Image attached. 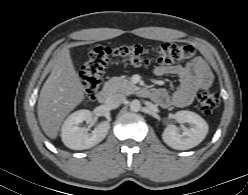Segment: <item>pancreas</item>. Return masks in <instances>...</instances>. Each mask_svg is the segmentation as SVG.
Wrapping results in <instances>:
<instances>
[{
    "label": "pancreas",
    "instance_id": "1",
    "mask_svg": "<svg viewBox=\"0 0 248 195\" xmlns=\"http://www.w3.org/2000/svg\"><path fill=\"white\" fill-rule=\"evenodd\" d=\"M105 87L112 93L120 92L126 95L133 94L137 90L136 85L122 77L111 78L106 82Z\"/></svg>",
    "mask_w": 248,
    "mask_h": 195
}]
</instances>
